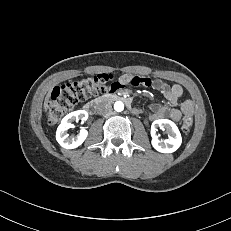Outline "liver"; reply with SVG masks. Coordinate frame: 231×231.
<instances>
[{"label": "liver", "instance_id": "1", "mask_svg": "<svg viewBox=\"0 0 231 231\" xmlns=\"http://www.w3.org/2000/svg\"><path fill=\"white\" fill-rule=\"evenodd\" d=\"M49 98H50V91L48 92L45 101H44V110L47 111V107H48V102H49Z\"/></svg>", "mask_w": 231, "mask_h": 231}]
</instances>
